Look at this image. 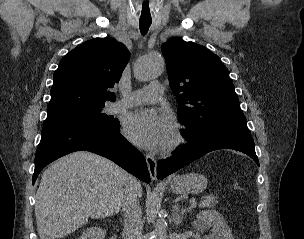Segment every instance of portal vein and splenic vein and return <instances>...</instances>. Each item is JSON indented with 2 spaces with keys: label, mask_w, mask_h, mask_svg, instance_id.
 I'll use <instances>...</instances> for the list:
<instances>
[{
  "label": "portal vein and splenic vein",
  "mask_w": 304,
  "mask_h": 239,
  "mask_svg": "<svg viewBox=\"0 0 304 239\" xmlns=\"http://www.w3.org/2000/svg\"><path fill=\"white\" fill-rule=\"evenodd\" d=\"M197 202L195 200H192L190 204V208H194L196 206Z\"/></svg>",
  "instance_id": "18ae733b"
}]
</instances>
